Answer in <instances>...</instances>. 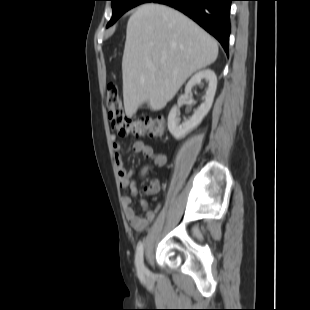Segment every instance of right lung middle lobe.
<instances>
[{
  "mask_svg": "<svg viewBox=\"0 0 310 310\" xmlns=\"http://www.w3.org/2000/svg\"><path fill=\"white\" fill-rule=\"evenodd\" d=\"M112 1V18L107 24V27L114 24L121 15H123L129 9L148 2L150 0H111Z\"/></svg>",
  "mask_w": 310,
  "mask_h": 310,
  "instance_id": "right-lung-middle-lobe-1",
  "label": "right lung middle lobe"
}]
</instances>
